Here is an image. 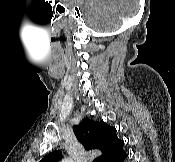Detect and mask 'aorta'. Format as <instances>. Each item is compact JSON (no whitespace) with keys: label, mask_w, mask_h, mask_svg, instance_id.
<instances>
[{"label":"aorta","mask_w":175,"mask_h":162,"mask_svg":"<svg viewBox=\"0 0 175 162\" xmlns=\"http://www.w3.org/2000/svg\"><path fill=\"white\" fill-rule=\"evenodd\" d=\"M63 162H70L69 160H63Z\"/></svg>","instance_id":"762f6f07"}]
</instances>
